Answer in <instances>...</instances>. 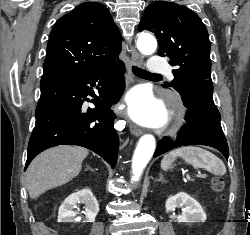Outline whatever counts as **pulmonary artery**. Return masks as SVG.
I'll use <instances>...</instances> for the list:
<instances>
[{"instance_id": "e3ab8cb5", "label": "pulmonary artery", "mask_w": 250, "mask_h": 235, "mask_svg": "<svg viewBox=\"0 0 250 235\" xmlns=\"http://www.w3.org/2000/svg\"><path fill=\"white\" fill-rule=\"evenodd\" d=\"M148 71L153 74L164 73L167 74L170 78L173 77L170 72L169 65L166 61L159 55H152L148 62Z\"/></svg>"}]
</instances>
